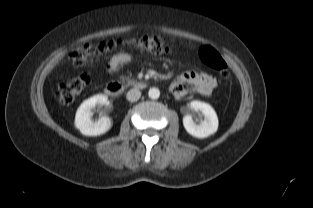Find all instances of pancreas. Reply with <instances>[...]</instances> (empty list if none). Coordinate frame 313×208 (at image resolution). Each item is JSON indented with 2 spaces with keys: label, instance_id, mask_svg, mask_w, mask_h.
<instances>
[{
  "label": "pancreas",
  "instance_id": "1",
  "mask_svg": "<svg viewBox=\"0 0 313 208\" xmlns=\"http://www.w3.org/2000/svg\"><path fill=\"white\" fill-rule=\"evenodd\" d=\"M121 79L123 81H126L128 84H134L135 83V80L132 79L130 76H128V77L127 76H122Z\"/></svg>",
  "mask_w": 313,
  "mask_h": 208
}]
</instances>
